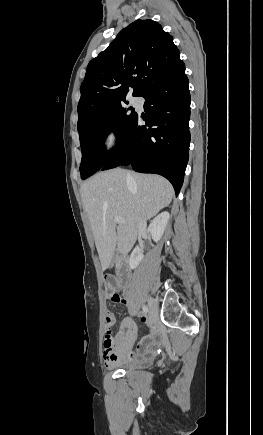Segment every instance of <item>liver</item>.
Masks as SVG:
<instances>
[{"label":"liver","instance_id":"6515ba94","mask_svg":"<svg viewBox=\"0 0 263 435\" xmlns=\"http://www.w3.org/2000/svg\"><path fill=\"white\" fill-rule=\"evenodd\" d=\"M102 270L115 251L127 255L134 246L141 220L169 206L174 190L165 178L116 168L99 172L80 188ZM124 219L116 226L115 217Z\"/></svg>","mask_w":263,"mask_h":435}]
</instances>
